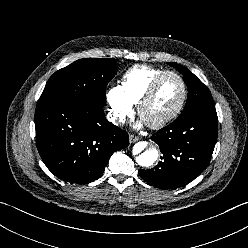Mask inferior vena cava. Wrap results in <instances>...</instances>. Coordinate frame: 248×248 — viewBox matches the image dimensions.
Instances as JSON below:
<instances>
[{"instance_id":"obj_1","label":"inferior vena cava","mask_w":248,"mask_h":248,"mask_svg":"<svg viewBox=\"0 0 248 248\" xmlns=\"http://www.w3.org/2000/svg\"><path fill=\"white\" fill-rule=\"evenodd\" d=\"M107 119L108 121L116 125L124 124L126 120L123 115H116V114H108Z\"/></svg>"}]
</instances>
